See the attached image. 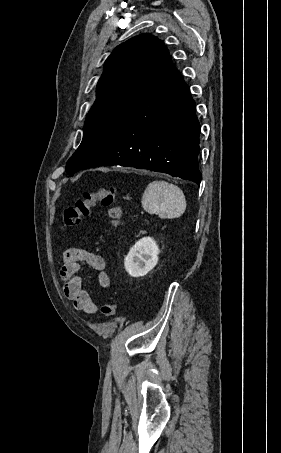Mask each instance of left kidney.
Listing matches in <instances>:
<instances>
[{
	"label": "left kidney",
	"instance_id": "1",
	"mask_svg": "<svg viewBox=\"0 0 281 453\" xmlns=\"http://www.w3.org/2000/svg\"><path fill=\"white\" fill-rule=\"evenodd\" d=\"M160 251L156 241L151 237H143L131 247L124 259V267L131 277H144L158 263Z\"/></svg>",
	"mask_w": 281,
	"mask_h": 453
}]
</instances>
